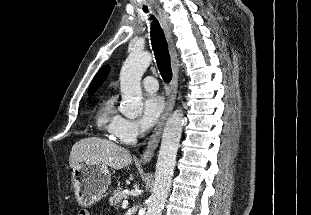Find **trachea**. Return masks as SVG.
<instances>
[{
	"label": "trachea",
	"instance_id": "3493384b",
	"mask_svg": "<svg viewBox=\"0 0 311 215\" xmlns=\"http://www.w3.org/2000/svg\"><path fill=\"white\" fill-rule=\"evenodd\" d=\"M144 12H148L147 7H143ZM151 43L154 51L156 63L159 72L166 83H169L172 79V69L170 63V55L168 51V45L165 35L160 27L159 22L156 18L151 15Z\"/></svg>",
	"mask_w": 311,
	"mask_h": 215
}]
</instances>
